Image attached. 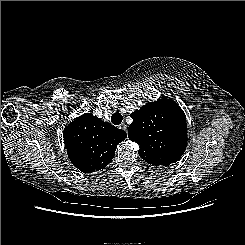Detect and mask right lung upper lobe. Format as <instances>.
<instances>
[{
	"label": "right lung upper lobe",
	"instance_id": "cb5924a9",
	"mask_svg": "<svg viewBox=\"0 0 245 245\" xmlns=\"http://www.w3.org/2000/svg\"><path fill=\"white\" fill-rule=\"evenodd\" d=\"M126 132L85 113L64 129V142L72 164L84 173L104 169L113 159Z\"/></svg>",
	"mask_w": 245,
	"mask_h": 245
}]
</instances>
